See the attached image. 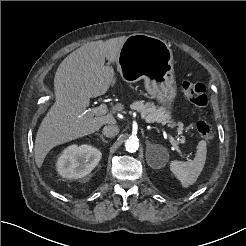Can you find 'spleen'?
Returning a JSON list of instances; mask_svg holds the SVG:
<instances>
[{
  "mask_svg": "<svg viewBox=\"0 0 246 246\" xmlns=\"http://www.w3.org/2000/svg\"><path fill=\"white\" fill-rule=\"evenodd\" d=\"M206 153L207 144L204 140H202L197 145L196 156L192 161H171L170 169L173 174L179 179L183 187L187 188L196 182L204 168Z\"/></svg>",
  "mask_w": 246,
  "mask_h": 246,
  "instance_id": "obj_1",
  "label": "spleen"
}]
</instances>
